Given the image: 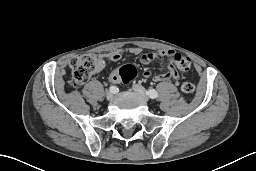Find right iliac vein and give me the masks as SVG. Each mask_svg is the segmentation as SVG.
<instances>
[{"label":"right iliac vein","mask_w":256,"mask_h":171,"mask_svg":"<svg viewBox=\"0 0 256 171\" xmlns=\"http://www.w3.org/2000/svg\"><path fill=\"white\" fill-rule=\"evenodd\" d=\"M112 98H113V92L108 91L107 94H106V99L107 100H112Z\"/></svg>","instance_id":"obj_1"}]
</instances>
